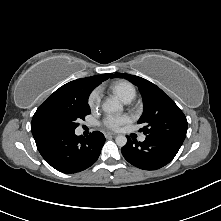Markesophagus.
<instances>
[{"instance_id":"1","label":"esophagus","mask_w":221,"mask_h":221,"mask_svg":"<svg viewBox=\"0 0 221 221\" xmlns=\"http://www.w3.org/2000/svg\"><path fill=\"white\" fill-rule=\"evenodd\" d=\"M117 134L116 133H113V132H106L105 133V137H109V136H116Z\"/></svg>"}]
</instances>
